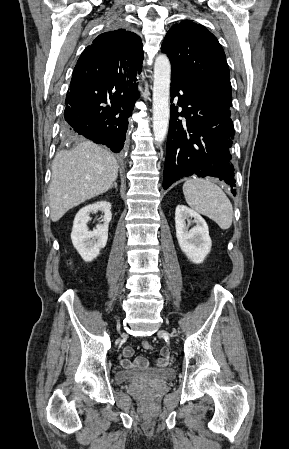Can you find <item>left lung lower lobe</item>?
Instances as JSON below:
<instances>
[{
  "label": "left lung lower lobe",
  "mask_w": 289,
  "mask_h": 449,
  "mask_svg": "<svg viewBox=\"0 0 289 449\" xmlns=\"http://www.w3.org/2000/svg\"><path fill=\"white\" fill-rule=\"evenodd\" d=\"M171 106L163 187L187 176L216 177L235 186L230 148L234 139L231 111L195 81L171 76ZM181 92V94L179 93ZM178 106L182 107L178 113ZM185 117L186 121L178 119ZM236 195V191L232 190Z\"/></svg>",
  "instance_id": "0a47b994"
}]
</instances>
